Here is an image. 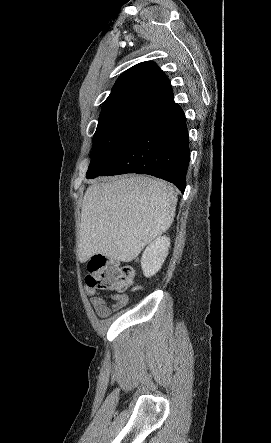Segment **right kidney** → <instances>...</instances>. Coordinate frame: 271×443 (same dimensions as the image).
Masks as SVG:
<instances>
[{"mask_svg":"<svg viewBox=\"0 0 271 443\" xmlns=\"http://www.w3.org/2000/svg\"><path fill=\"white\" fill-rule=\"evenodd\" d=\"M170 247V237L159 235L144 249L141 257V267L144 275L150 277L159 271Z\"/></svg>","mask_w":271,"mask_h":443,"instance_id":"right-kidney-1","label":"right kidney"}]
</instances>
